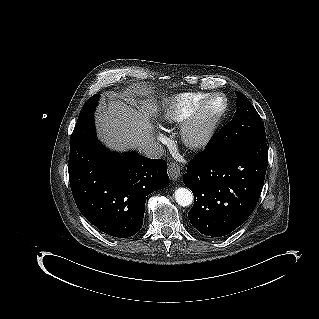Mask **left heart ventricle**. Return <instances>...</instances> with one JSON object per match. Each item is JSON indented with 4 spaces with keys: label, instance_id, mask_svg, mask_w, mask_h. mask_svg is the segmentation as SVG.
Segmentation results:
<instances>
[{
    "label": "left heart ventricle",
    "instance_id": "1",
    "mask_svg": "<svg viewBox=\"0 0 319 319\" xmlns=\"http://www.w3.org/2000/svg\"><path fill=\"white\" fill-rule=\"evenodd\" d=\"M221 107H222L221 99L213 100L206 108V111L204 113V120L205 121L211 120L220 111Z\"/></svg>",
    "mask_w": 319,
    "mask_h": 319
}]
</instances>
